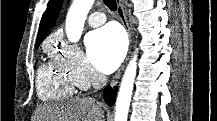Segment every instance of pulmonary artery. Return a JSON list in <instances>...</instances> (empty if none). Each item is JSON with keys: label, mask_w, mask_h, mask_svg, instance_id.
I'll return each mask as SVG.
<instances>
[{"label": "pulmonary artery", "mask_w": 217, "mask_h": 121, "mask_svg": "<svg viewBox=\"0 0 217 121\" xmlns=\"http://www.w3.org/2000/svg\"><path fill=\"white\" fill-rule=\"evenodd\" d=\"M106 21V16L102 12H94L90 15L88 23L91 27L96 28Z\"/></svg>", "instance_id": "pulmonary-artery-1"}]
</instances>
